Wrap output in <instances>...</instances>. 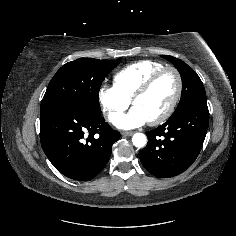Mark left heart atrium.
<instances>
[{
    "label": "left heart atrium",
    "mask_w": 236,
    "mask_h": 236,
    "mask_svg": "<svg viewBox=\"0 0 236 236\" xmlns=\"http://www.w3.org/2000/svg\"><path fill=\"white\" fill-rule=\"evenodd\" d=\"M113 122L120 129H132L146 124L148 119L138 108L133 107L128 113L117 116Z\"/></svg>",
    "instance_id": "1"
}]
</instances>
